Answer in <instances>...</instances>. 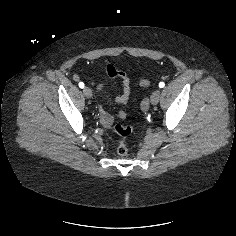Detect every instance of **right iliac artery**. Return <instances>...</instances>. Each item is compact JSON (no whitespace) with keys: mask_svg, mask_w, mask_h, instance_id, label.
Here are the masks:
<instances>
[{"mask_svg":"<svg viewBox=\"0 0 236 236\" xmlns=\"http://www.w3.org/2000/svg\"><path fill=\"white\" fill-rule=\"evenodd\" d=\"M79 87H80V88H84V83H83V82H80V83H79Z\"/></svg>","mask_w":236,"mask_h":236,"instance_id":"1","label":"right iliac artery"}]
</instances>
